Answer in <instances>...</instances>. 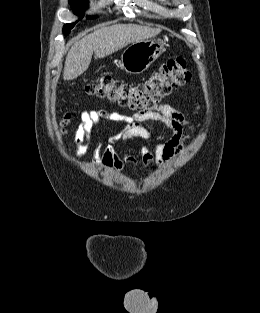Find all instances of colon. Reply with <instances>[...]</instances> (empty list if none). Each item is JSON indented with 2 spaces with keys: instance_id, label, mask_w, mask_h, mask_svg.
Instances as JSON below:
<instances>
[{
  "instance_id": "obj_1",
  "label": "colon",
  "mask_w": 260,
  "mask_h": 313,
  "mask_svg": "<svg viewBox=\"0 0 260 313\" xmlns=\"http://www.w3.org/2000/svg\"><path fill=\"white\" fill-rule=\"evenodd\" d=\"M191 76L186 59L175 57L169 59L143 82L130 84L111 77H101L88 83L85 91L121 107L143 112L155 107L174 89L188 83ZM69 122L70 114L67 113L61 120V126L66 127Z\"/></svg>"
}]
</instances>
